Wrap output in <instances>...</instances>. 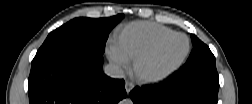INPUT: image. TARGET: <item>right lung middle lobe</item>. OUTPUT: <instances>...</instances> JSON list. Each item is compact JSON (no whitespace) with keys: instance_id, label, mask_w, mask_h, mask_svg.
I'll list each match as a JSON object with an SVG mask.
<instances>
[{"instance_id":"dd1d6c3e","label":"right lung middle lobe","mask_w":252,"mask_h":104,"mask_svg":"<svg viewBox=\"0 0 252 104\" xmlns=\"http://www.w3.org/2000/svg\"><path fill=\"white\" fill-rule=\"evenodd\" d=\"M124 17L118 14L109 18H75L52 31L36 55L65 47H80L102 54L109 32Z\"/></svg>"}]
</instances>
